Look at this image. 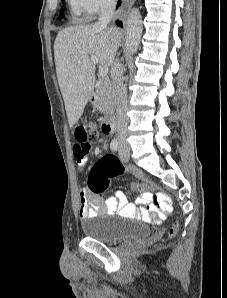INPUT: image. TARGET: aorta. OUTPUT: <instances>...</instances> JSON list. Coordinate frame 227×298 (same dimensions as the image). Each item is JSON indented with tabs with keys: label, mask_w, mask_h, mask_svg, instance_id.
<instances>
[{
	"label": "aorta",
	"mask_w": 227,
	"mask_h": 298,
	"mask_svg": "<svg viewBox=\"0 0 227 298\" xmlns=\"http://www.w3.org/2000/svg\"><path fill=\"white\" fill-rule=\"evenodd\" d=\"M142 16L139 9H132L126 22V53L133 55L137 52L142 36Z\"/></svg>",
	"instance_id": "obj_1"
}]
</instances>
